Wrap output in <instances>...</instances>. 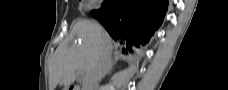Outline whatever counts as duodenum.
<instances>
[{"label":"duodenum","mask_w":228,"mask_h":90,"mask_svg":"<svg viewBox=\"0 0 228 90\" xmlns=\"http://www.w3.org/2000/svg\"><path fill=\"white\" fill-rule=\"evenodd\" d=\"M71 90H80L77 86H74Z\"/></svg>","instance_id":"obj_1"}]
</instances>
